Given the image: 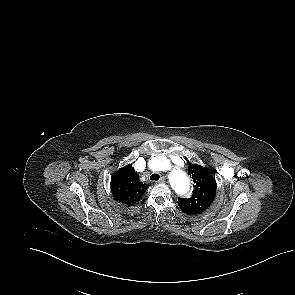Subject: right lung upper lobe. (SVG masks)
<instances>
[{
  "label": "right lung upper lobe",
  "mask_w": 295,
  "mask_h": 295,
  "mask_svg": "<svg viewBox=\"0 0 295 295\" xmlns=\"http://www.w3.org/2000/svg\"><path fill=\"white\" fill-rule=\"evenodd\" d=\"M110 184L113 197L125 204L138 201L148 188L147 184L139 181L137 173L130 164L114 173Z\"/></svg>",
  "instance_id": "obj_1"
}]
</instances>
